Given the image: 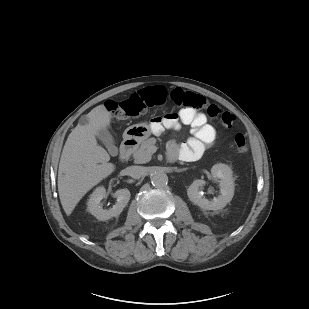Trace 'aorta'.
Returning a JSON list of instances; mask_svg holds the SVG:
<instances>
[{"mask_svg":"<svg viewBox=\"0 0 309 309\" xmlns=\"http://www.w3.org/2000/svg\"><path fill=\"white\" fill-rule=\"evenodd\" d=\"M151 183L156 188H163L168 183V176L163 172H155L151 176Z\"/></svg>","mask_w":309,"mask_h":309,"instance_id":"obj_1","label":"aorta"}]
</instances>
